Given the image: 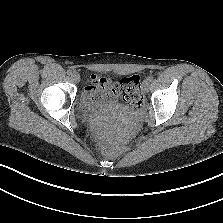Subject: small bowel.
<instances>
[{"label": "small bowel", "mask_w": 223, "mask_h": 223, "mask_svg": "<svg viewBox=\"0 0 223 223\" xmlns=\"http://www.w3.org/2000/svg\"><path fill=\"white\" fill-rule=\"evenodd\" d=\"M113 83L109 77L92 76L90 84L85 88V91L92 97H101L107 100H115L121 92L117 85Z\"/></svg>", "instance_id": "c3829d8e"}]
</instances>
